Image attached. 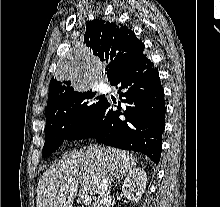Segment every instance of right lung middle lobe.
<instances>
[{
    "instance_id": "1",
    "label": "right lung middle lobe",
    "mask_w": 220,
    "mask_h": 207,
    "mask_svg": "<svg viewBox=\"0 0 220 207\" xmlns=\"http://www.w3.org/2000/svg\"><path fill=\"white\" fill-rule=\"evenodd\" d=\"M90 91H76L62 99L53 110L46 113L45 144L42 157H48L83 124L98 111L105 99Z\"/></svg>"
}]
</instances>
